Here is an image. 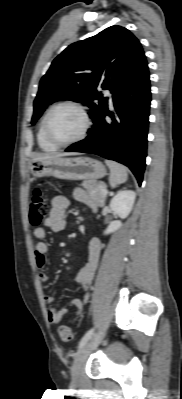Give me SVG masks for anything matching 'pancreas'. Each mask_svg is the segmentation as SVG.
Listing matches in <instances>:
<instances>
[{
	"label": "pancreas",
	"mask_w": 182,
	"mask_h": 399,
	"mask_svg": "<svg viewBox=\"0 0 182 399\" xmlns=\"http://www.w3.org/2000/svg\"><path fill=\"white\" fill-rule=\"evenodd\" d=\"M82 186L89 192V194L97 198L101 206L104 204L106 197V195L103 193L106 190L105 183L98 182L96 180H86L82 183Z\"/></svg>",
	"instance_id": "cf45deb5"
}]
</instances>
